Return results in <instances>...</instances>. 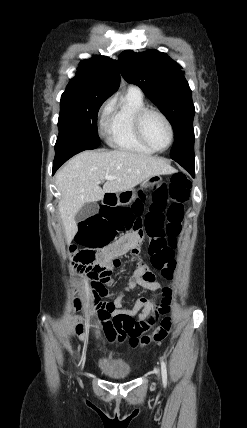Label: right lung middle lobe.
Instances as JSON below:
<instances>
[{"instance_id": "1", "label": "right lung middle lobe", "mask_w": 247, "mask_h": 428, "mask_svg": "<svg viewBox=\"0 0 247 428\" xmlns=\"http://www.w3.org/2000/svg\"><path fill=\"white\" fill-rule=\"evenodd\" d=\"M107 98L89 93L61 96L56 152L84 151L95 149L100 145L97 133V114Z\"/></svg>"}]
</instances>
